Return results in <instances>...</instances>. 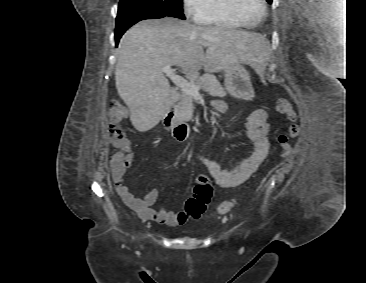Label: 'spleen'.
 I'll return each mask as SVG.
<instances>
[{"mask_svg": "<svg viewBox=\"0 0 366 283\" xmlns=\"http://www.w3.org/2000/svg\"><path fill=\"white\" fill-rule=\"evenodd\" d=\"M262 72H263V71H261V70H260V71H258V73H259V74H262Z\"/></svg>", "mask_w": 366, "mask_h": 283, "instance_id": "3e777b00", "label": "spleen"}]
</instances>
